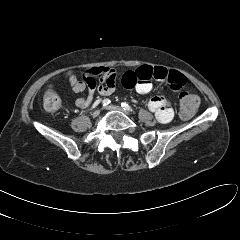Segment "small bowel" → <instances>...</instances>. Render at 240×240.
<instances>
[{
    "mask_svg": "<svg viewBox=\"0 0 240 240\" xmlns=\"http://www.w3.org/2000/svg\"><path fill=\"white\" fill-rule=\"evenodd\" d=\"M96 76H100L98 86L95 81ZM67 78L73 92L87 93L86 96L76 99L75 105L78 109L90 106L96 89L101 95L108 96L118 87L116 72L108 67L88 69L84 71L82 80H79L74 72H70ZM152 79L165 81L171 91L181 89L186 83L185 76L178 71L160 66H141L125 72L121 78V85L128 89H135L140 94H147L152 90ZM148 108L161 123H168L174 117V110L163 94L152 97L148 102Z\"/></svg>",
    "mask_w": 240,
    "mask_h": 240,
    "instance_id": "small-bowel-1",
    "label": "small bowel"
}]
</instances>
